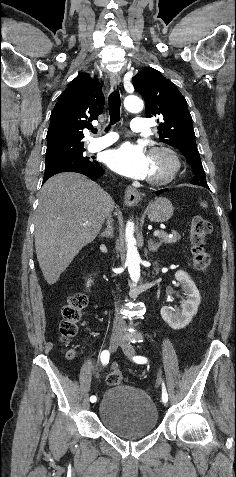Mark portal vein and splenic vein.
Instances as JSON below:
<instances>
[{
  "label": "portal vein and splenic vein",
  "instance_id": "obj_1",
  "mask_svg": "<svg viewBox=\"0 0 236 477\" xmlns=\"http://www.w3.org/2000/svg\"><path fill=\"white\" fill-rule=\"evenodd\" d=\"M159 234H160V231H159V230H155L154 233H153V235H154L155 237L159 236Z\"/></svg>",
  "mask_w": 236,
  "mask_h": 477
}]
</instances>
